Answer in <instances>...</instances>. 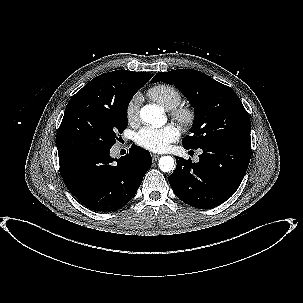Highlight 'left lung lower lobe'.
Segmentation results:
<instances>
[{
	"mask_svg": "<svg viewBox=\"0 0 303 303\" xmlns=\"http://www.w3.org/2000/svg\"><path fill=\"white\" fill-rule=\"evenodd\" d=\"M199 148L203 153L197 163L176 157L177 167L168 180L180 200L210 209L224 203L238 189L250 162L251 142L216 141Z\"/></svg>",
	"mask_w": 303,
	"mask_h": 303,
	"instance_id": "left-lung-lower-lobe-1",
	"label": "left lung lower lobe"
}]
</instances>
